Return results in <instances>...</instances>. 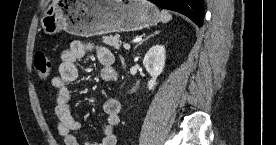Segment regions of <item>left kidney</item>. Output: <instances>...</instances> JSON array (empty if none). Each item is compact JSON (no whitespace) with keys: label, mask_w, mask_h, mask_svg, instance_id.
Segmentation results:
<instances>
[{"label":"left kidney","mask_w":276,"mask_h":145,"mask_svg":"<svg viewBox=\"0 0 276 145\" xmlns=\"http://www.w3.org/2000/svg\"><path fill=\"white\" fill-rule=\"evenodd\" d=\"M166 52L162 45L151 47L143 59V65L147 72L151 75V80L148 81L147 87L153 90L157 85L156 79L162 73L165 67Z\"/></svg>","instance_id":"1"}]
</instances>
